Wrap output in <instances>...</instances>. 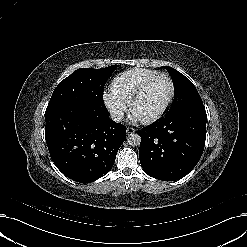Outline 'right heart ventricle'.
<instances>
[{"label":"right heart ventricle","mask_w":247,"mask_h":247,"mask_svg":"<svg viewBox=\"0 0 247 247\" xmlns=\"http://www.w3.org/2000/svg\"><path fill=\"white\" fill-rule=\"evenodd\" d=\"M159 72L148 68H133L116 77L112 83V94L124 104L129 102L138 88Z\"/></svg>","instance_id":"obj_1"}]
</instances>
